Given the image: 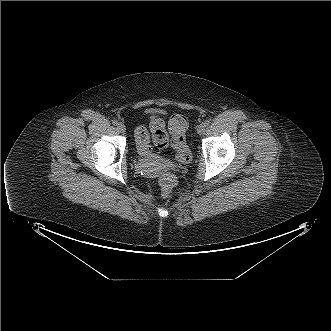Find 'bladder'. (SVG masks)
Instances as JSON below:
<instances>
[{
  "label": "bladder",
  "mask_w": 331,
  "mask_h": 331,
  "mask_svg": "<svg viewBox=\"0 0 331 331\" xmlns=\"http://www.w3.org/2000/svg\"><path fill=\"white\" fill-rule=\"evenodd\" d=\"M156 159H158V156H156V155H150V156H148L147 157V161H152V160H156Z\"/></svg>",
  "instance_id": "1"
}]
</instances>
